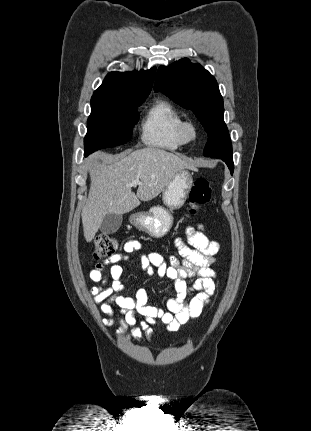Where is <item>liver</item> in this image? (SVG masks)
I'll return each mask as SVG.
<instances>
[{
  "mask_svg": "<svg viewBox=\"0 0 311 431\" xmlns=\"http://www.w3.org/2000/svg\"><path fill=\"white\" fill-rule=\"evenodd\" d=\"M128 154V156H125ZM125 154L114 156L112 164H101L100 152L86 158L91 186L82 223L86 241L94 239L107 214H128L140 206L157 198L181 170H196L193 164L158 148L127 150ZM133 180H140L137 194L132 192Z\"/></svg>",
  "mask_w": 311,
  "mask_h": 431,
  "instance_id": "obj_1",
  "label": "liver"
}]
</instances>
